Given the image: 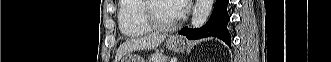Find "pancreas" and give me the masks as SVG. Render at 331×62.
Listing matches in <instances>:
<instances>
[{
  "label": "pancreas",
  "mask_w": 331,
  "mask_h": 62,
  "mask_svg": "<svg viewBox=\"0 0 331 62\" xmlns=\"http://www.w3.org/2000/svg\"><path fill=\"white\" fill-rule=\"evenodd\" d=\"M168 59L167 56L162 54H153L149 60V62H166Z\"/></svg>",
  "instance_id": "obj_1"
}]
</instances>
